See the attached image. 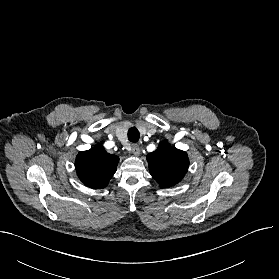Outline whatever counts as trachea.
<instances>
[{"mask_svg":"<svg viewBox=\"0 0 279 279\" xmlns=\"http://www.w3.org/2000/svg\"><path fill=\"white\" fill-rule=\"evenodd\" d=\"M140 138V133L137 128L132 127L128 130V139L130 142H137Z\"/></svg>","mask_w":279,"mask_h":279,"instance_id":"1","label":"trachea"}]
</instances>
